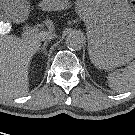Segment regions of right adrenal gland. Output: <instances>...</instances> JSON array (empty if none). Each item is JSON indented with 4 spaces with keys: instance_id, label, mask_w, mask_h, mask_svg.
<instances>
[{
    "instance_id": "2a0ac1e0",
    "label": "right adrenal gland",
    "mask_w": 135,
    "mask_h": 135,
    "mask_svg": "<svg viewBox=\"0 0 135 135\" xmlns=\"http://www.w3.org/2000/svg\"><path fill=\"white\" fill-rule=\"evenodd\" d=\"M48 43H49V40L45 41L43 46L39 49V51L40 50L43 51L44 55H47L46 47H47Z\"/></svg>"
}]
</instances>
